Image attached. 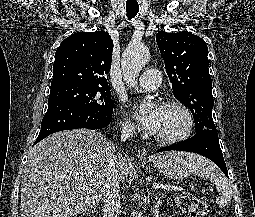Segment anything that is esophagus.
<instances>
[{
    "mask_svg": "<svg viewBox=\"0 0 255 217\" xmlns=\"http://www.w3.org/2000/svg\"><path fill=\"white\" fill-rule=\"evenodd\" d=\"M137 157L140 159H146L147 158V150L145 148H141L137 152Z\"/></svg>",
    "mask_w": 255,
    "mask_h": 217,
    "instance_id": "34e87169",
    "label": "esophagus"
}]
</instances>
